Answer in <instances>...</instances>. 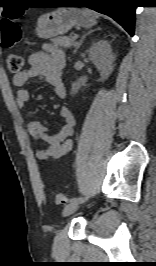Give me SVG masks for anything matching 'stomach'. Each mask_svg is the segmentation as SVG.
<instances>
[{
  "label": "stomach",
  "instance_id": "0dacf381",
  "mask_svg": "<svg viewBox=\"0 0 156 266\" xmlns=\"http://www.w3.org/2000/svg\"><path fill=\"white\" fill-rule=\"evenodd\" d=\"M97 23L95 14L88 9L62 7L40 16L36 34L50 39L66 34L73 26L90 27Z\"/></svg>",
  "mask_w": 156,
  "mask_h": 266
}]
</instances>
